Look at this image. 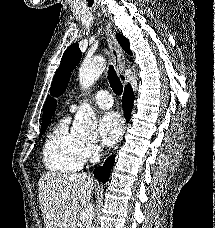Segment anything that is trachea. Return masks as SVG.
<instances>
[{
	"label": "trachea",
	"instance_id": "obj_1",
	"mask_svg": "<svg viewBox=\"0 0 215 228\" xmlns=\"http://www.w3.org/2000/svg\"><path fill=\"white\" fill-rule=\"evenodd\" d=\"M107 78L109 80L110 87L116 95H121L123 86L121 81L119 80L116 71L114 70L112 65H109Z\"/></svg>",
	"mask_w": 215,
	"mask_h": 228
}]
</instances>
